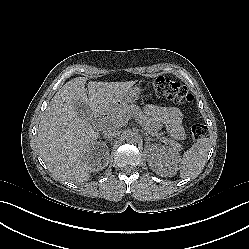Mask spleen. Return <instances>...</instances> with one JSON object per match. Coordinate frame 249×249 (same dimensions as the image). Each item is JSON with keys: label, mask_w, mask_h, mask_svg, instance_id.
Listing matches in <instances>:
<instances>
[{"label": "spleen", "mask_w": 249, "mask_h": 249, "mask_svg": "<svg viewBox=\"0 0 249 249\" xmlns=\"http://www.w3.org/2000/svg\"><path fill=\"white\" fill-rule=\"evenodd\" d=\"M210 143L206 138L195 143L182 157L172 153L167 156L171 164H179L183 170L197 171L204 164Z\"/></svg>", "instance_id": "spleen-1"}]
</instances>
